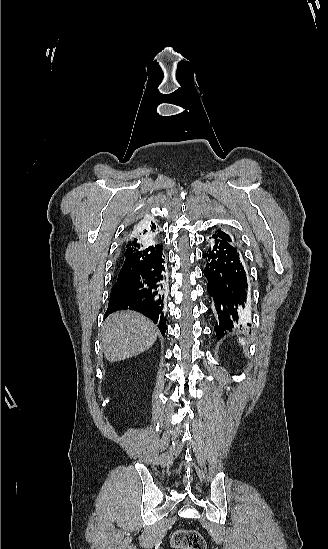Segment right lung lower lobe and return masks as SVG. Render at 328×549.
Segmentation results:
<instances>
[{
	"label": "right lung lower lobe",
	"instance_id": "right-lung-lower-lobe-1",
	"mask_svg": "<svg viewBox=\"0 0 328 549\" xmlns=\"http://www.w3.org/2000/svg\"><path fill=\"white\" fill-rule=\"evenodd\" d=\"M164 264L161 252L128 277L118 278L112 287L105 315L126 309L140 312L158 324L164 336L166 332V321L162 313L165 290Z\"/></svg>",
	"mask_w": 328,
	"mask_h": 549
}]
</instances>
